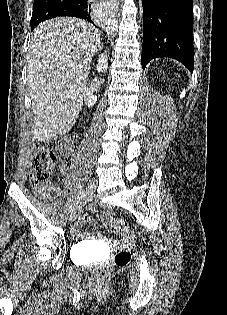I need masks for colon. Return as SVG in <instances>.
Wrapping results in <instances>:
<instances>
[{
	"label": "colon",
	"mask_w": 227,
	"mask_h": 315,
	"mask_svg": "<svg viewBox=\"0 0 227 315\" xmlns=\"http://www.w3.org/2000/svg\"><path fill=\"white\" fill-rule=\"evenodd\" d=\"M76 144V136L64 133L50 138L44 144H36L33 150V164L30 172L31 184L35 189H48L52 172L59 162L67 161ZM111 231L114 234L132 238L133 234L127 222L120 218H114L110 222ZM131 255L127 250L116 254L113 263L99 269L98 275L106 278L112 270V266H124L130 261Z\"/></svg>",
	"instance_id": "colon-1"
}]
</instances>
